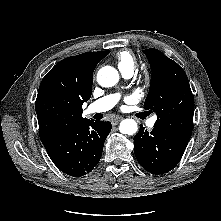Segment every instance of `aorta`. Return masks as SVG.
<instances>
[{
  "mask_svg": "<svg viewBox=\"0 0 221 221\" xmlns=\"http://www.w3.org/2000/svg\"><path fill=\"white\" fill-rule=\"evenodd\" d=\"M97 81L102 87H113L119 81V73L111 66L102 67L97 73ZM119 130L122 134L133 135L137 132L138 126L135 120L125 119L121 121Z\"/></svg>",
  "mask_w": 221,
  "mask_h": 221,
  "instance_id": "762f6f07",
  "label": "aorta"
}]
</instances>
